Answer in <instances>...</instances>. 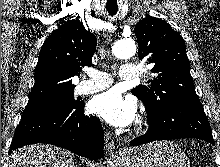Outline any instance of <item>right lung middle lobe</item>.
I'll use <instances>...</instances> for the list:
<instances>
[{"instance_id": "right-lung-middle-lobe-1", "label": "right lung middle lobe", "mask_w": 220, "mask_h": 167, "mask_svg": "<svg viewBox=\"0 0 220 167\" xmlns=\"http://www.w3.org/2000/svg\"><path fill=\"white\" fill-rule=\"evenodd\" d=\"M46 103H51L57 106L72 107L77 104V101H75L74 99V89L59 92L38 99H29L26 108Z\"/></svg>"}]
</instances>
